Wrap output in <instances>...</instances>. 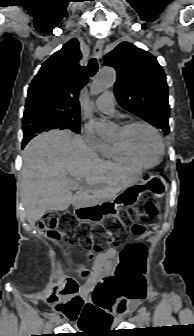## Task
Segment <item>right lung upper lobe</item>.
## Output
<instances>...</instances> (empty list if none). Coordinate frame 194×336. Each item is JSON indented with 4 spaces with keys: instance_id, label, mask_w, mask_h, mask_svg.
Segmentation results:
<instances>
[{
    "instance_id": "obj_1",
    "label": "right lung upper lobe",
    "mask_w": 194,
    "mask_h": 336,
    "mask_svg": "<svg viewBox=\"0 0 194 336\" xmlns=\"http://www.w3.org/2000/svg\"><path fill=\"white\" fill-rule=\"evenodd\" d=\"M80 58L78 40L72 39L42 64L29 86L24 125L42 117L80 120L78 95L88 82L85 67L78 63ZM37 134L25 135L22 143Z\"/></svg>"
}]
</instances>
